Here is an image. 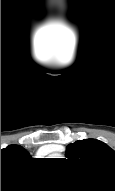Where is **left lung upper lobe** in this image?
I'll return each instance as SVG.
<instances>
[{
	"mask_svg": "<svg viewBox=\"0 0 115 191\" xmlns=\"http://www.w3.org/2000/svg\"><path fill=\"white\" fill-rule=\"evenodd\" d=\"M70 161L100 169L115 176V151L97 139L78 140L67 146Z\"/></svg>",
	"mask_w": 115,
	"mask_h": 191,
	"instance_id": "left-lung-upper-lobe-1",
	"label": "left lung upper lobe"
}]
</instances>
